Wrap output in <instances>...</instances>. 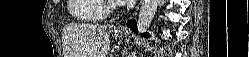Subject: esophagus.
Returning a JSON list of instances; mask_svg holds the SVG:
<instances>
[{"mask_svg": "<svg viewBox=\"0 0 249 57\" xmlns=\"http://www.w3.org/2000/svg\"><path fill=\"white\" fill-rule=\"evenodd\" d=\"M141 3H142V0H141V1L139 2V4L137 5V7H136V10H135L134 14L138 11V9H139V7H140ZM119 29H120V27H114V30H119Z\"/></svg>", "mask_w": 249, "mask_h": 57, "instance_id": "1", "label": "esophagus"}]
</instances>
